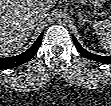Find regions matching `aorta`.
<instances>
[{
    "label": "aorta",
    "mask_w": 111,
    "mask_h": 106,
    "mask_svg": "<svg viewBox=\"0 0 111 106\" xmlns=\"http://www.w3.org/2000/svg\"><path fill=\"white\" fill-rule=\"evenodd\" d=\"M58 18H59V20H64L65 19V15L63 13H59L58 14Z\"/></svg>",
    "instance_id": "obj_1"
}]
</instances>
